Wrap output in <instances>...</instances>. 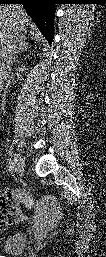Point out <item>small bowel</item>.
<instances>
[{"label":"small bowel","mask_w":106,"mask_h":257,"mask_svg":"<svg viewBox=\"0 0 106 257\" xmlns=\"http://www.w3.org/2000/svg\"><path fill=\"white\" fill-rule=\"evenodd\" d=\"M26 218L22 211L15 205L14 194H2L0 201V229L4 230L8 225L25 220Z\"/></svg>","instance_id":"small-bowel-1"}]
</instances>
